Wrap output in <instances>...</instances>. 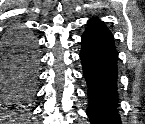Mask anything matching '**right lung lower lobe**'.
Wrapping results in <instances>:
<instances>
[{
  "mask_svg": "<svg viewBox=\"0 0 145 124\" xmlns=\"http://www.w3.org/2000/svg\"><path fill=\"white\" fill-rule=\"evenodd\" d=\"M38 70V51L31 34H13L0 55V107L5 115L25 113L32 103Z\"/></svg>",
  "mask_w": 145,
  "mask_h": 124,
  "instance_id": "98d812e1",
  "label": "right lung lower lobe"
}]
</instances>
